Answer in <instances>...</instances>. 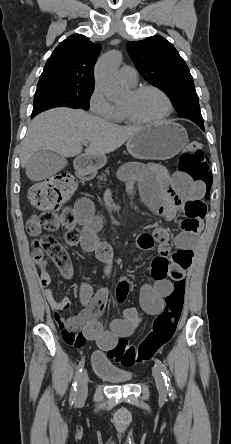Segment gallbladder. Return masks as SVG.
Returning a JSON list of instances; mask_svg holds the SVG:
<instances>
[{"label": "gallbladder", "instance_id": "gallbladder-1", "mask_svg": "<svg viewBox=\"0 0 231 444\" xmlns=\"http://www.w3.org/2000/svg\"><path fill=\"white\" fill-rule=\"evenodd\" d=\"M66 165L63 157L52 151H38L32 155L26 165V174L32 181H39L48 178Z\"/></svg>", "mask_w": 231, "mask_h": 444}]
</instances>
